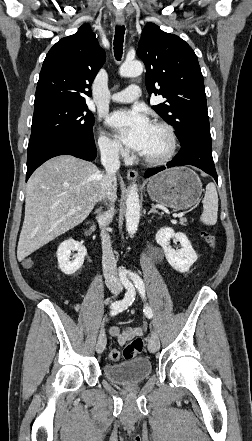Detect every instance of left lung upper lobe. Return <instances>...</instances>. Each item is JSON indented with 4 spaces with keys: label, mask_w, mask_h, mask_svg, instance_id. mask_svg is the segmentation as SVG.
<instances>
[{
    "label": "left lung upper lobe",
    "mask_w": 252,
    "mask_h": 441,
    "mask_svg": "<svg viewBox=\"0 0 252 441\" xmlns=\"http://www.w3.org/2000/svg\"><path fill=\"white\" fill-rule=\"evenodd\" d=\"M137 54L146 66L149 95L166 99L152 108L175 128L180 143L193 134L210 135L203 76L192 48L180 37L147 23Z\"/></svg>",
    "instance_id": "5c2ea615"
}]
</instances>
